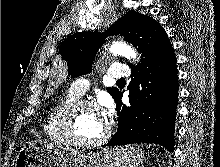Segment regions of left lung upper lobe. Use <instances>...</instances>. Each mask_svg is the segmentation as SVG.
<instances>
[{
    "instance_id": "1",
    "label": "left lung upper lobe",
    "mask_w": 220,
    "mask_h": 167,
    "mask_svg": "<svg viewBox=\"0 0 220 167\" xmlns=\"http://www.w3.org/2000/svg\"><path fill=\"white\" fill-rule=\"evenodd\" d=\"M114 34L124 35V38L138 49L141 53V63L161 57L173 49L165 30L156 20L131 10L105 33L78 32L61 43L59 53L62 60L68 62V74L78 77L89 73L103 40ZM107 90L114 100L120 92L117 88Z\"/></svg>"
}]
</instances>
